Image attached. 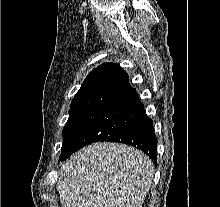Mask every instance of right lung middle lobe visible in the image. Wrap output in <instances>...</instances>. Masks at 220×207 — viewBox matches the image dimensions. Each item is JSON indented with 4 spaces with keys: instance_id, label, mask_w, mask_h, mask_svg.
Wrapping results in <instances>:
<instances>
[{
    "instance_id": "dd1d6c3e",
    "label": "right lung middle lobe",
    "mask_w": 220,
    "mask_h": 207,
    "mask_svg": "<svg viewBox=\"0 0 220 207\" xmlns=\"http://www.w3.org/2000/svg\"><path fill=\"white\" fill-rule=\"evenodd\" d=\"M101 85L102 83H97L81 87L72 100L69 110V118L63 129V144L60 157L66 151L73 134L94 102Z\"/></svg>"
}]
</instances>
